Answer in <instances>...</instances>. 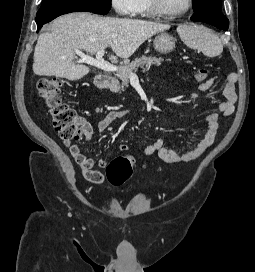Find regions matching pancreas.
Returning a JSON list of instances; mask_svg holds the SVG:
<instances>
[{
  "label": "pancreas",
  "instance_id": "pancreas-1",
  "mask_svg": "<svg viewBox=\"0 0 255 272\" xmlns=\"http://www.w3.org/2000/svg\"><path fill=\"white\" fill-rule=\"evenodd\" d=\"M163 59L157 57H146L142 56L136 58L131 63L120 67L116 73L117 78L121 81V85L118 81L113 82L110 85V91L118 92L120 90L124 91L125 87H128V81L130 74L136 72L138 68H149L151 65L160 66Z\"/></svg>",
  "mask_w": 255,
  "mask_h": 272
}]
</instances>
